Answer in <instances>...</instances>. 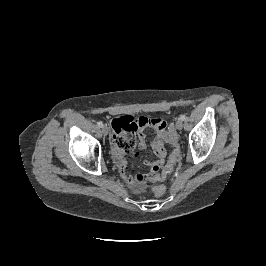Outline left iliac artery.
<instances>
[{"label": "left iliac artery", "mask_w": 266, "mask_h": 266, "mask_svg": "<svg viewBox=\"0 0 266 266\" xmlns=\"http://www.w3.org/2000/svg\"><path fill=\"white\" fill-rule=\"evenodd\" d=\"M180 119H181L182 121H184V120L186 119V116H185L184 114H182V115L180 116Z\"/></svg>", "instance_id": "44dca946"}]
</instances>
